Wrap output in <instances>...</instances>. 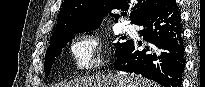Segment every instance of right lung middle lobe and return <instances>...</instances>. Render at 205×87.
<instances>
[{"mask_svg": "<svg viewBox=\"0 0 205 87\" xmlns=\"http://www.w3.org/2000/svg\"><path fill=\"white\" fill-rule=\"evenodd\" d=\"M79 32H84V31H78V32H73L70 33L64 37H61L59 39H56L55 41H52V43L50 44L49 48L47 49L46 55H45V76L47 77L50 73L52 64L54 63L55 59L60 55L62 48L66 45V43L68 41H70L72 39V35L73 34H77ZM126 42H117L115 43V47H116V53L118 52V50L123 47Z\"/></svg>", "mask_w": 205, "mask_h": 87, "instance_id": "obj_1", "label": "right lung middle lobe"}]
</instances>
